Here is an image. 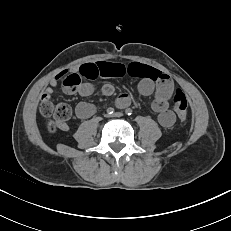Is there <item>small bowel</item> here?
Segmentation results:
<instances>
[{"label":"small bowel","mask_w":231,"mask_h":231,"mask_svg":"<svg viewBox=\"0 0 231 231\" xmlns=\"http://www.w3.org/2000/svg\"><path fill=\"white\" fill-rule=\"evenodd\" d=\"M77 72L88 80L99 77H122L126 74L139 78V92L143 96L153 95L152 109L157 113L159 124L164 128H169L175 123L176 116L169 108V101L176 89L174 82L167 74L138 62H131L128 65L109 62L85 63L78 68ZM66 75H68L67 71H61L53 77L43 91L41 99H50L55 87ZM77 92L84 97L90 96L94 92V85L91 81L84 82L79 86ZM102 92L104 95L110 96L113 94L114 88L110 84H105ZM129 103L130 97L127 94L119 95L116 100L119 107H125ZM95 111V106L87 102L79 103L75 109L76 116L81 120L90 118ZM58 127L63 131L68 130V125L64 122L58 123Z\"/></svg>","instance_id":"obj_1"}]
</instances>
